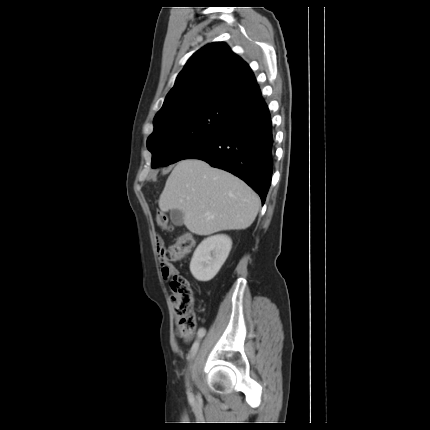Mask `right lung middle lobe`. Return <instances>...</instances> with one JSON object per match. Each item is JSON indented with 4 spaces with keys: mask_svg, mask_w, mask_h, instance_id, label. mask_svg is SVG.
Returning a JSON list of instances; mask_svg holds the SVG:
<instances>
[{
    "mask_svg": "<svg viewBox=\"0 0 430 430\" xmlns=\"http://www.w3.org/2000/svg\"><path fill=\"white\" fill-rule=\"evenodd\" d=\"M234 116L223 100H209L154 122L147 141L152 168L185 159L223 131Z\"/></svg>",
    "mask_w": 430,
    "mask_h": 430,
    "instance_id": "right-lung-middle-lobe-1",
    "label": "right lung middle lobe"
}]
</instances>
